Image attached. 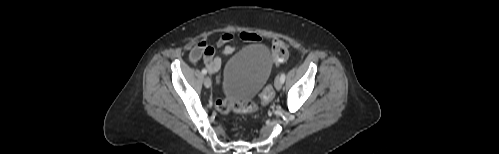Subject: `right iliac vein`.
I'll use <instances>...</instances> for the list:
<instances>
[{
  "label": "right iliac vein",
  "mask_w": 499,
  "mask_h": 154,
  "mask_svg": "<svg viewBox=\"0 0 499 154\" xmlns=\"http://www.w3.org/2000/svg\"><path fill=\"white\" fill-rule=\"evenodd\" d=\"M204 85L206 88H210L211 87V79L210 77L206 76L205 79H204Z\"/></svg>",
  "instance_id": "63e3f726"
}]
</instances>
